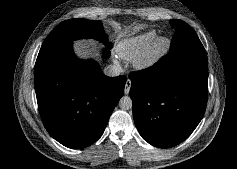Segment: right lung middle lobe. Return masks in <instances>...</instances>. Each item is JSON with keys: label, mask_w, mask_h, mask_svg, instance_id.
Masks as SVG:
<instances>
[{"label": "right lung middle lobe", "mask_w": 237, "mask_h": 169, "mask_svg": "<svg viewBox=\"0 0 237 169\" xmlns=\"http://www.w3.org/2000/svg\"><path fill=\"white\" fill-rule=\"evenodd\" d=\"M81 38H95L103 42L108 48L112 47V43L107 41V36L104 34L102 23L86 19H70L62 22L53 29L43 44Z\"/></svg>", "instance_id": "dd1d6c3e"}]
</instances>
